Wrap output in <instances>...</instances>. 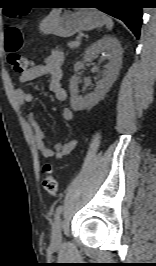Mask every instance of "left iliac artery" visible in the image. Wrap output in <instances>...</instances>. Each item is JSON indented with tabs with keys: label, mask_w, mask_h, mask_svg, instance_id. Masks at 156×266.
<instances>
[{
	"label": "left iliac artery",
	"mask_w": 156,
	"mask_h": 266,
	"mask_svg": "<svg viewBox=\"0 0 156 266\" xmlns=\"http://www.w3.org/2000/svg\"><path fill=\"white\" fill-rule=\"evenodd\" d=\"M62 210H63V206L62 205L57 207V209L55 211V220H57L60 217V215L62 213Z\"/></svg>",
	"instance_id": "1"
}]
</instances>
